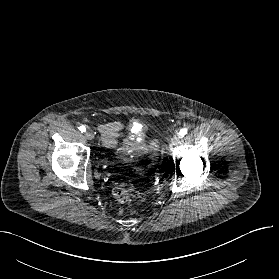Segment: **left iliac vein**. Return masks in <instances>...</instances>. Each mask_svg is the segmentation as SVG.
Returning <instances> with one entry per match:
<instances>
[{
	"instance_id": "left-iliac-vein-1",
	"label": "left iliac vein",
	"mask_w": 279,
	"mask_h": 279,
	"mask_svg": "<svg viewBox=\"0 0 279 279\" xmlns=\"http://www.w3.org/2000/svg\"><path fill=\"white\" fill-rule=\"evenodd\" d=\"M179 142H180V136L178 134L174 135L173 138L171 139V145L177 146Z\"/></svg>"
}]
</instances>
